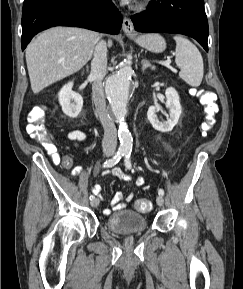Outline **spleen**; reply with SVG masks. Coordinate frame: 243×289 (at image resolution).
Wrapping results in <instances>:
<instances>
[{
	"mask_svg": "<svg viewBox=\"0 0 243 289\" xmlns=\"http://www.w3.org/2000/svg\"><path fill=\"white\" fill-rule=\"evenodd\" d=\"M175 62L181 69L179 76L187 84L198 87L203 79L204 67L201 53L188 39L176 35Z\"/></svg>",
	"mask_w": 243,
	"mask_h": 289,
	"instance_id": "obj_1",
	"label": "spleen"
}]
</instances>
